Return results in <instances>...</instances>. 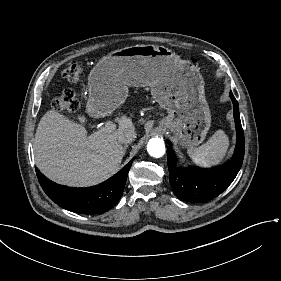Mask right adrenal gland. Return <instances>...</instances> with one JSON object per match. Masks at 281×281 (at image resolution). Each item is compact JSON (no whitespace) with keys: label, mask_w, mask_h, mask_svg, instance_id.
I'll return each mask as SVG.
<instances>
[{"label":"right adrenal gland","mask_w":281,"mask_h":281,"mask_svg":"<svg viewBox=\"0 0 281 281\" xmlns=\"http://www.w3.org/2000/svg\"><path fill=\"white\" fill-rule=\"evenodd\" d=\"M129 144H124L123 148H122V151H123V155L126 154V149L128 147Z\"/></svg>","instance_id":"2a0ac1e0"}]
</instances>
